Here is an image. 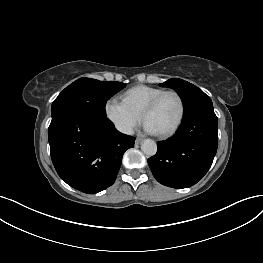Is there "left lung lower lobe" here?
Returning <instances> with one entry per match:
<instances>
[{
    "label": "left lung lower lobe",
    "mask_w": 263,
    "mask_h": 263,
    "mask_svg": "<svg viewBox=\"0 0 263 263\" xmlns=\"http://www.w3.org/2000/svg\"><path fill=\"white\" fill-rule=\"evenodd\" d=\"M217 129L213 109L185 118L177 134L159 142L156 155L148 159L156 180L172 188H187L201 180L217 151Z\"/></svg>",
    "instance_id": "1"
}]
</instances>
